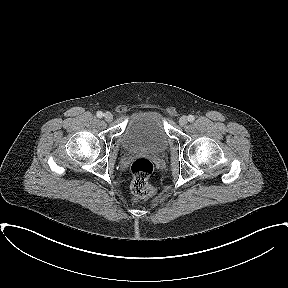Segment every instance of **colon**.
Returning <instances> with one entry per match:
<instances>
[{
    "label": "colon",
    "instance_id": "obj_1",
    "mask_svg": "<svg viewBox=\"0 0 288 288\" xmlns=\"http://www.w3.org/2000/svg\"><path fill=\"white\" fill-rule=\"evenodd\" d=\"M153 170V163L146 158H139L133 161L131 165L133 201L145 200L154 195V188L149 183V177Z\"/></svg>",
    "mask_w": 288,
    "mask_h": 288
}]
</instances>
